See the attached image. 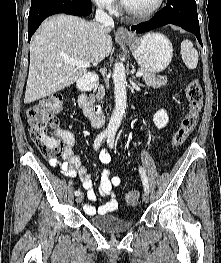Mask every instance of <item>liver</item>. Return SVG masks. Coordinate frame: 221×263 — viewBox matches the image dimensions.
I'll return each instance as SVG.
<instances>
[{
    "label": "liver",
    "mask_w": 221,
    "mask_h": 263,
    "mask_svg": "<svg viewBox=\"0 0 221 263\" xmlns=\"http://www.w3.org/2000/svg\"><path fill=\"white\" fill-rule=\"evenodd\" d=\"M111 27L72 15L50 17L30 44V65L24 103L52 95L76 82L87 67L66 63L67 59L97 65L112 50Z\"/></svg>",
    "instance_id": "liver-1"
}]
</instances>
